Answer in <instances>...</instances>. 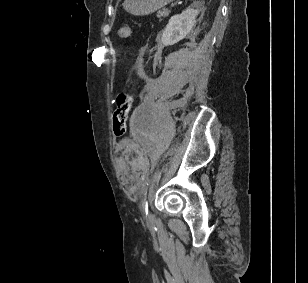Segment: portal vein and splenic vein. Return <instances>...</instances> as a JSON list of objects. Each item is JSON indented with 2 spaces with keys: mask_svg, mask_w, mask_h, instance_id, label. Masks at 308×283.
Listing matches in <instances>:
<instances>
[{
  "mask_svg": "<svg viewBox=\"0 0 308 283\" xmlns=\"http://www.w3.org/2000/svg\"><path fill=\"white\" fill-rule=\"evenodd\" d=\"M174 6H175V4H172V5H171V7H174Z\"/></svg>",
  "mask_w": 308,
  "mask_h": 283,
  "instance_id": "18ae733b",
  "label": "portal vein and splenic vein"
}]
</instances>
